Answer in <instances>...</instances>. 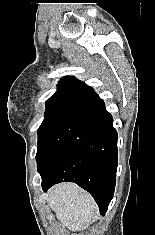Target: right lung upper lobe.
<instances>
[{"mask_svg":"<svg viewBox=\"0 0 155 235\" xmlns=\"http://www.w3.org/2000/svg\"><path fill=\"white\" fill-rule=\"evenodd\" d=\"M90 90L92 88L85 83L66 76L59 82L57 91L46 101V112L95 123L98 118L94 115V103L89 98Z\"/></svg>","mask_w":155,"mask_h":235,"instance_id":"obj_1","label":"right lung upper lobe"}]
</instances>
